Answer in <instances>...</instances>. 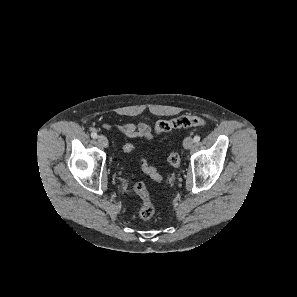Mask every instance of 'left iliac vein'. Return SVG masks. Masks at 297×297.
<instances>
[{
  "label": "left iliac vein",
  "instance_id": "1",
  "mask_svg": "<svg viewBox=\"0 0 297 297\" xmlns=\"http://www.w3.org/2000/svg\"><path fill=\"white\" fill-rule=\"evenodd\" d=\"M194 145V141L191 137H186L183 142V146L185 149H191Z\"/></svg>",
  "mask_w": 297,
  "mask_h": 297
}]
</instances>
